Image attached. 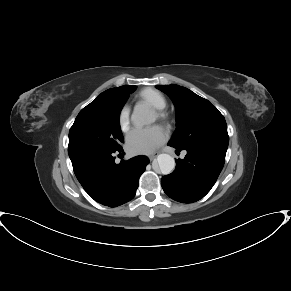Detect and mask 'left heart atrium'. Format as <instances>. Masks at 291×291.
<instances>
[{
	"label": "left heart atrium",
	"instance_id": "39dd6f15",
	"mask_svg": "<svg viewBox=\"0 0 291 291\" xmlns=\"http://www.w3.org/2000/svg\"><path fill=\"white\" fill-rule=\"evenodd\" d=\"M167 139L165 131L158 125L148 128L133 129L126 140V147L131 154H149Z\"/></svg>",
	"mask_w": 291,
	"mask_h": 291
}]
</instances>
